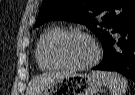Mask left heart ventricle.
Returning <instances> with one entry per match:
<instances>
[{
  "mask_svg": "<svg viewBox=\"0 0 135 95\" xmlns=\"http://www.w3.org/2000/svg\"><path fill=\"white\" fill-rule=\"evenodd\" d=\"M58 57L65 63L81 65L90 61L94 56L91 42L82 36H68L57 47Z\"/></svg>",
  "mask_w": 135,
  "mask_h": 95,
  "instance_id": "obj_1",
  "label": "left heart ventricle"
}]
</instances>
